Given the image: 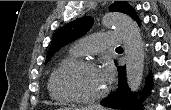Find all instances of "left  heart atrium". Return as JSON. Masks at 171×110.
<instances>
[{"mask_svg": "<svg viewBox=\"0 0 171 110\" xmlns=\"http://www.w3.org/2000/svg\"><path fill=\"white\" fill-rule=\"evenodd\" d=\"M100 74L105 79V81L108 83L109 81L112 80V78L114 76V70H113L112 66L108 64V65H105L100 70Z\"/></svg>", "mask_w": 171, "mask_h": 110, "instance_id": "39dd6f15", "label": "left heart atrium"}]
</instances>
